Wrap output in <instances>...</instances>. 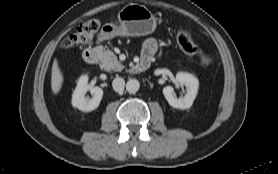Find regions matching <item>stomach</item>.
Here are the masks:
<instances>
[{
	"label": "stomach",
	"mask_w": 278,
	"mask_h": 174,
	"mask_svg": "<svg viewBox=\"0 0 278 174\" xmlns=\"http://www.w3.org/2000/svg\"><path fill=\"white\" fill-rule=\"evenodd\" d=\"M118 25L106 24L100 32L103 40L115 36L135 37L153 33L156 29V18L145 6L131 3L118 13Z\"/></svg>",
	"instance_id": "1"
}]
</instances>
